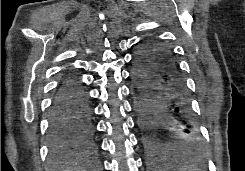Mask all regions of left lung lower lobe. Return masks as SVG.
<instances>
[{
	"label": "left lung lower lobe",
	"mask_w": 245,
	"mask_h": 171,
	"mask_svg": "<svg viewBox=\"0 0 245 171\" xmlns=\"http://www.w3.org/2000/svg\"><path fill=\"white\" fill-rule=\"evenodd\" d=\"M152 61L129 62L141 96L142 122L146 128L143 146L149 167H182L188 154L168 148L167 142L153 130L166 127L172 134L189 133L193 127L192 110L186 81L171 49L160 43L152 52ZM168 156V157H162Z\"/></svg>",
	"instance_id": "0a47b994"
}]
</instances>
